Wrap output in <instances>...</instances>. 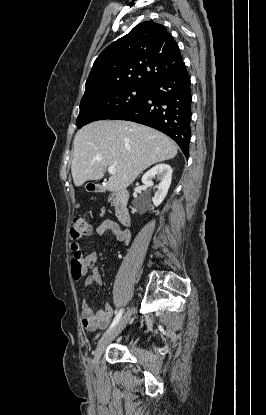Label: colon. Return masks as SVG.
Here are the masks:
<instances>
[{
	"instance_id": "5ec220e1",
	"label": "colon",
	"mask_w": 266,
	"mask_h": 415,
	"mask_svg": "<svg viewBox=\"0 0 266 415\" xmlns=\"http://www.w3.org/2000/svg\"><path fill=\"white\" fill-rule=\"evenodd\" d=\"M92 234V225L88 219L83 215L75 216L71 228V236L74 239H78L84 236H90ZM72 271L76 278L82 274V264L79 257H75L72 261Z\"/></svg>"
}]
</instances>
